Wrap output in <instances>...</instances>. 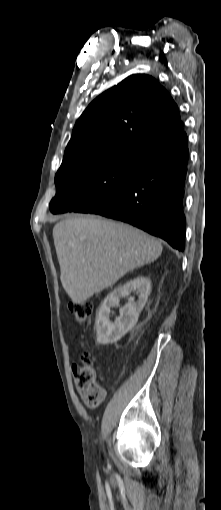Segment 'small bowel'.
I'll return each instance as SVG.
<instances>
[{
    "label": "small bowel",
    "instance_id": "small-bowel-1",
    "mask_svg": "<svg viewBox=\"0 0 221 510\" xmlns=\"http://www.w3.org/2000/svg\"><path fill=\"white\" fill-rule=\"evenodd\" d=\"M78 369H79V366L77 364H73L72 367H71V370H72V373L73 375L76 377V374L78 372ZM75 381H76V378H75ZM76 384H77V381H76ZM77 386L79 387V385L77 384ZM79 390H80V393H82V390L81 388L79 387Z\"/></svg>",
    "mask_w": 221,
    "mask_h": 510
}]
</instances>
